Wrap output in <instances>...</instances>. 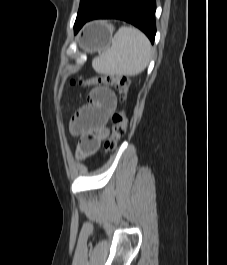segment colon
<instances>
[{"mask_svg":"<svg viewBox=\"0 0 227 265\" xmlns=\"http://www.w3.org/2000/svg\"><path fill=\"white\" fill-rule=\"evenodd\" d=\"M72 85L90 86L106 85L114 86L119 94L121 102H125L129 91V80L125 76L99 75L86 79L72 80ZM128 118L126 110H120L112 115L111 135L104 142V152L108 154L116 149L119 140L126 133Z\"/></svg>","mask_w":227,"mask_h":265,"instance_id":"1","label":"colon"}]
</instances>
